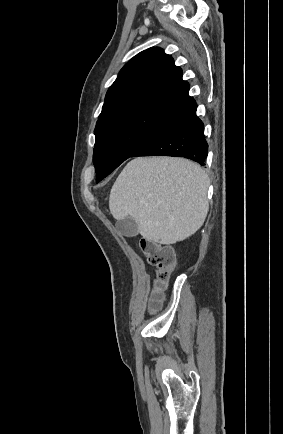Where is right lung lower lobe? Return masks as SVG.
Here are the masks:
<instances>
[{"instance_id": "98d812e1", "label": "right lung lower lobe", "mask_w": 283, "mask_h": 434, "mask_svg": "<svg viewBox=\"0 0 283 434\" xmlns=\"http://www.w3.org/2000/svg\"><path fill=\"white\" fill-rule=\"evenodd\" d=\"M196 108L172 120L131 157L176 156L189 158L204 165L208 155V144L204 136V124L197 117Z\"/></svg>"}]
</instances>
